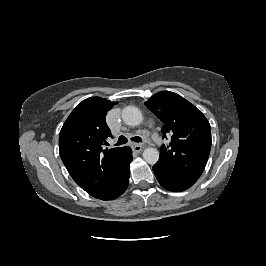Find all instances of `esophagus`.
Wrapping results in <instances>:
<instances>
[{
  "instance_id": "1",
  "label": "esophagus",
  "mask_w": 266,
  "mask_h": 266,
  "mask_svg": "<svg viewBox=\"0 0 266 266\" xmlns=\"http://www.w3.org/2000/svg\"><path fill=\"white\" fill-rule=\"evenodd\" d=\"M132 149L135 152H140L143 149V145L142 144H138V143H133L132 144Z\"/></svg>"
}]
</instances>
